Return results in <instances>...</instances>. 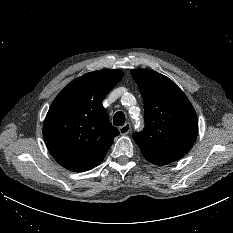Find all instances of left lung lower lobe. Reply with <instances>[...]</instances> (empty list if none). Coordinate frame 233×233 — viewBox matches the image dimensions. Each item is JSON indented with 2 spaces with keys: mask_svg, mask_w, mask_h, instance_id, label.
<instances>
[{
  "mask_svg": "<svg viewBox=\"0 0 233 233\" xmlns=\"http://www.w3.org/2000/svg\"><path fill=\"white\" fill-rule=\"evenodd\" d=\"M147 160H149L150 162H152L153 164H156V165L168 164V162H165V161H155V160H151V159H147Z\"/></svg>",
  "mask_w": 233,
  "mask_h": 233,
  "instance_id": "obj_1",
  "label": "left lung lower lobe"
}]
</instances>
